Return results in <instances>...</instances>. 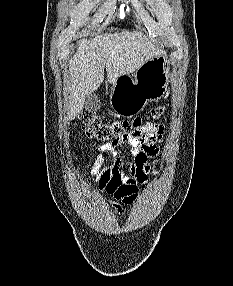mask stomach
<instances>
[{"instance_id": "1", "label": "stomach", "mask_w": 233, "mask_h": 286, "mask_svg": "<svg viewBox=\"0 0 233 286\" xmlns=\"http://www.w3.org/2000/svg\"><path fill=\"white\" fill-rule=\"evenodd\" d=\"M170 62L165 54L145 62L134 74L122 75L111 88L110 104L121 116L132 117L146 105L160 99L169 84Z\"/></svg>"}]
</instances>
